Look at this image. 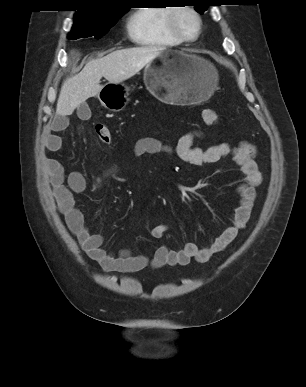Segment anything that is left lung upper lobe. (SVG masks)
Listing matches in <instances>:
<instances>
[{"mask_svg": "<svg viewBox=\"0 0 306 387\" xmlns=\"http://www.w3.org/2000/svg\"><path fill=\"white\" fill-rule=\"evenodd\" d=\"M193 3L195 4L194 7L197 12L200 14H203L208 6L214 5V0H192Z\"/></svg>", "mask_w": 306, "mask_h": 387, "instance_id": "1", "label": "left lung upper lobe"}]
</instances>
